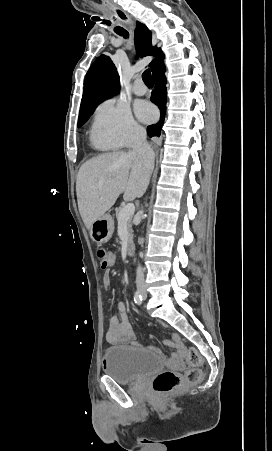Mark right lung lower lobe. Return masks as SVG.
Instances as JSON below:
<instances>
[{
    "label": "right lung lower lobe",
    "mask_w": 272,
    "mask_h": 451,
    "mask_svg": "<svg viewBox=\"0 0 272 451\" xmlns=\"http://www.w3.org/2000/svg\"><path fill=\"white\" fill-rule=\"evenodd\" d=\"M156 87L152 92L151 101L155 103L161 112V117L158 123L147 127V133L150 137L160 136L162 126L164 123L166 113V77L164 61L158 64L155 70L152 72Z\"/></svg>",
    "instance_id": "obj_1"
}]
</instances>
